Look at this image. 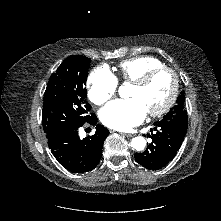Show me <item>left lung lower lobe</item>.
Instances as JSON below:
<instances>
[{"label": "left lung lower lobe", "instance_id": "1", "mask_svg": "<svg viewBox=\"0 0 221 221\" xmlns=\"http://www.w3.org/2000/svg\"><path fill=\"white\" fill-rule=\"evenodd\" d=\"M154 125L156 134L152 133L150 136L152 143L144 152L136 153L135 160L146 169L158 170L175 157L187 133V128L179 121L161 120Z\"/></svg>", "mask_w": 221, "mask_h": 221}]
</instances>
